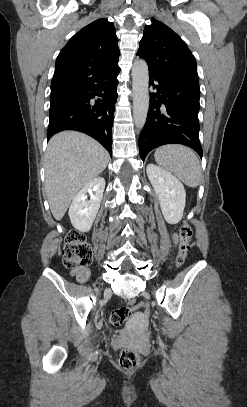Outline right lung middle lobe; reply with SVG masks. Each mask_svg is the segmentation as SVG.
I'll return each instance as SVG.
<instances>
[{
  "mask_svg": "<svg viewBox=\"0 0 247 407\" xmlns=\"http://www.w3.org/2000/svg\"><path fill=\"white\" fill-rule=\"evenodd\" d=\"M71 90H73V89L51 91L50 98L55 97V96H59V95L65 93V92H68V91H71Z\"/></svg>",
  "mask_w": 247,
  "mask_h": 407,
  "instance_id": "obj_1",
  "label": "right lung middle lobe"
}]
</instances>
